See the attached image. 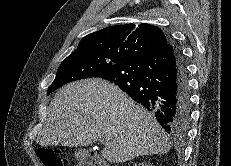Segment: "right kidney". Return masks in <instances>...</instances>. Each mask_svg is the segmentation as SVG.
Here are the masks:
<instances>
[{
    "label": "right kidney",
    "instance_id": "obj_1",
    "mask_svg": "<svg viewBox=\"0 0 231 166\" xmlns=\"http://www.w3.org/2000/svg\"><path fill=\"white\" fill-rule=\"evenodd\" d=\"M134 166H152V165H149L147 163H139V164H135Z\"/></svg>",
    "mask_w": 231,
    "mask_h": 166
}]
</instances>
